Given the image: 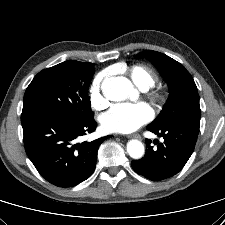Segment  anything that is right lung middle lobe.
I'll return each mask as SVG.
<instances>
[{
  "label": "right lung middle lobe",
  "instance_id": "dd1d6c3e",
  "mask_svg": "<svg viewBox=\"0 0 225 225\" xmlns=\"http://www.w3.org/2000/svg\"><path fill=\"white\" fill-rule=\"evenodd\" d=\"M94 64L68 60L39 72L27 87L23 110L43 109L84 122L94 119L88 86Z\"/></svg>",
  "mask_w": 225,
  "mask_h": 225
}]
</instances>
